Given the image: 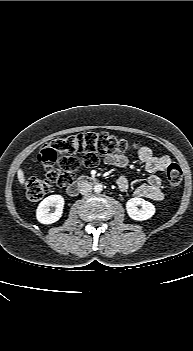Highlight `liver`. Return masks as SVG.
I'll return each mask as SVG.
<instances>
[{
    "label": "liver",
    "instance_id": "6515ba94",
    "mask_svg": "<svg viewBox=\"0 0 193 351\" xmlns=\"http://www.w3.org/2000/svg\"><path fill=\"white\" fill-rule=\"evenodd\" d=\"M17 177H18L20 184L24 185L25 184V177H24V172L22 171V169L18 170Z\"/></svg>",
    "mask_w": 193,
    "mask_h": 351
}]
</instances>
